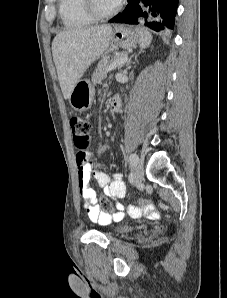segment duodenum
I'll return each instance as SVG.
<instances>
[{
	"instance_id": "410a0bca",
	"label": "duodenum",
	"mask_w": 227,
	"mask_h": 298,
	"mask_svg": "<svg viewBox=\"0 0 227 298\" xmlns=\"http://www.w3.org/2000/svg\"><path fill=\"white\" fill-rule=\"evenodd\" d=\"M111 108L113 111H119L121 108V99L118 96H115L111 100Z\"/></svg>"
}]
</instances>
